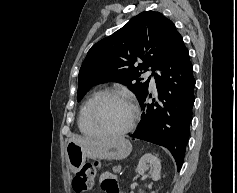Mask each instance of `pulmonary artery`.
Returning <instances> with one entry per match:
<instances>
[{
	"label": "pulmonary artery",
	"instance_id": "pulmonary-artery-1",
	"mask_svg": "<svg viewBox=\"0 0 237 193\" xmlns=\"http://www.w3.org/2000/svg\"><path fill=\"white\" fill-rule=\"evenodd\" d=\"M146 76H151L150 87H151V89H155V79L152 76L151 70L147 71Z\"/></svg>",
	"mask_w": 237,
	"mask_h": 193
}]
</instances>
